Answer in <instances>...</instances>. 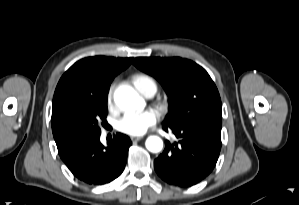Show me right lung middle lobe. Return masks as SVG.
I'll list each match as a JSON object with an SVG mask.
<instances>
[{"label": "right lung middle lobe", "mask_w": 299, "mask_h": 205, "mask_svg": "<svg viewBox=\"0 0 299 205\" xmlns=\"http://www.w3.org/2000/svg\"><path fill=\"white\" fill-rule=\"evenodd\" d=\"M106 89L69 98L59 105L52 115V132L58 151L64 150L81 139L101 133L98 126L104 121L107 110Z\"/></svg>", "instance_id": "dd1d6c3e"}]
</instances>
